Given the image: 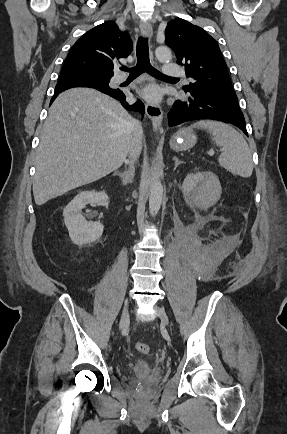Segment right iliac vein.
Returning a JSON list of instances; mask_svg holds the SVG:
<instances>
[{
    "instance_id": "1",
    "label": "right iliac vein",
    "mask_w": 287,
    "mask_h": 434,
    "mask_svg": "<svg viewBox=\"0 0 287 434\" xmlns=\"http://www.w3.org/2000/svg\"><path fill=\"white\" fill-rule=\"evenodd\" d=\"M128 307H129V301L126 300L125 304H124L123 311H122L121 319H120V324H119L120 330L123 329L125 326H127L129 323Z\"/></svg>"
}]
</instances>
